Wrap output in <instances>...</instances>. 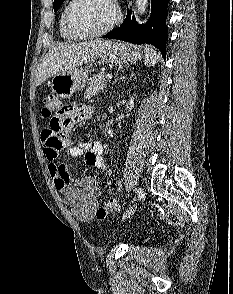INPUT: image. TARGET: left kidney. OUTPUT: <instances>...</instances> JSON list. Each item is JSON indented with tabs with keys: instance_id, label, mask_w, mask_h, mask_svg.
I'll return each instance as SVG.
<instances>
[{
	"instance_id": "1",
	"label": "left kidney",
	"mask_w": 233,
	"mask_h": 294,
	"mask_svg": "<svg viewBox=\"0 0 233 294\" xmlns=\"http://www.w3.org/2000/svg\"><path fill=\"white\" fill-rule=\"evenodd\" d=\"M134 106V98L130 97L129 103L126 104V109L131 110V108Z\"/></svg>"
}]
</instances>
